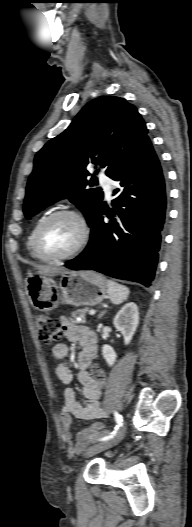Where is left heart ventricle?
<instances>
[{"mask_svg":"<svg viewBox=\"0 0 192 527\" xmlns=\"http://www.w3.org/2000/svg\"><path fill=\"white\" fill-rule=\"evenodd\" d=\"M81 228L71 216H58L49 221L40 234V246L48 256H60L70 252L78 243Z\"/></svg>","mask_w":192,"mask_h":527,"instance_id":"left-heart-ventricle-1","label":"left heart ventricle"}]
</instances>
